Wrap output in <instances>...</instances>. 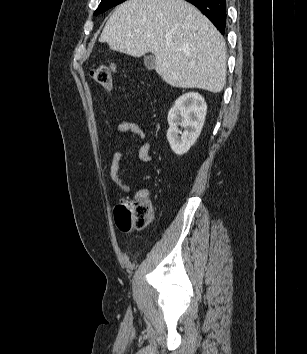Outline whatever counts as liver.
<instances>
[{
	"label": "liver",
	"instance_id": "obj_1",
	"mask_svg": "<svg viewBox=\"0 0 307 354\" xmlns=\"http://www.w3.org/2000/svg\"><path fill=\"white\" fill-rule=\"evenodd\" d=\"M99 42L133 57L153 53L156 72L173 87L217 93L226 83L222 35L184 0H128L114 10Z\"/></svg>",
	"mask_w": 307,
	"mask_h": 354
}]
</instances>
